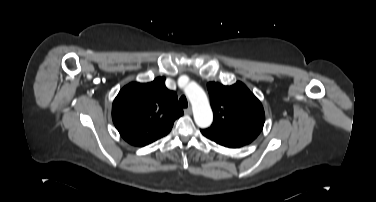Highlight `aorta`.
<instances>
[{
    "instance_id": "obj_1",
    "label": "aorta",
    "mask_w": 376,
    "mask_h": 202,
    "mask_svg": "<svg viewBox=\"0 0 376 202\" xmlns=\"http://www.w3.org/2000/svg\"><path fill=\"white\" fill-rule=\"evenodd\" d=\"M179 86H183V79L180 78ZM184 91L193 107L194 121L200 128L209 127L213 121V113L208 98L203 89L195 82L184 85Z\"/></svg>"
}]
</instances>
